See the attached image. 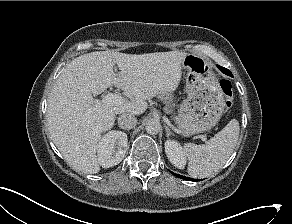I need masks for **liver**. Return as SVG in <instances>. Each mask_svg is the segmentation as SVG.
I'll use <instances>...</instances> for the list:
<instances>
[{"label":"liver","mask_w":292,"mask_h":224,"mask_svg":"<svg viewBox=\"0 0 292 224\" xmlns=\"http://www.w3.org/2000/svg\"><path fill=\"white\" fill-rule=\"evenodd\" d=\"M185 55L96 51L72 60L56 80L47 107L51 139L67 162L83 173H98L101 133L113 127L117 114L141 115L148 108L147 99L174 91ZM112 85L124 90L130 100L111 105L93 98L92 93L100 94Z\"/></svg>","instance_id":"1"}]
</instances>
